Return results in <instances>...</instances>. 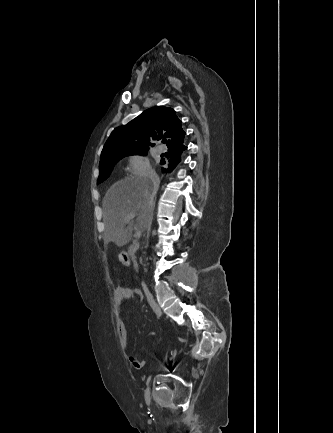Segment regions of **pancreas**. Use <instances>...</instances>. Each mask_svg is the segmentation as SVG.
<instances>
[{"instance_id": "pancreas-1", "label": "pancreas", "mask_w": 333, "mask_h": 433, "mask_svg": "<svg viewBox=\"0 0 333 433\" xmlns=\"http://www.w3.org/2000/svg\"><path fill=\"white\" fill-rule=\"evenodd\" d=\"M129 253H130V255L132 254V248H130V252ZM133 260H134V258H133Z\"/></svg>"}]
</instances>
